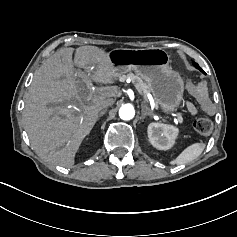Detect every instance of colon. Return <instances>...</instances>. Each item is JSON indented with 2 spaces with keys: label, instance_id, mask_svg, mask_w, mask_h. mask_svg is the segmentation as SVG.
I'll use <instances>...</instances> for the list:
<instances>
[{
  "label": "colon",
  "instance_id": "1",
  "mask_svg": "<svg viewBox=\"0 0 237 237\" xmlns=\"http://www.w3.org/2000/svg\"><path fill=\"white\" fill-rule=\"evenodd\" d=\"M186 88L189 93L195 97L197 102L201 105V107L210 112L214 110V104L209 100L207 96V91L200 87L199 85L194 84L193 82L187 80ZM194 129L201 135H208L211 133L213 129V123L209 118L201 117L194 121L193 123Z\"/></svg>",
  "mask_w": 237,
  "mask_h": 237
}]
</instances>
